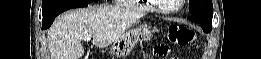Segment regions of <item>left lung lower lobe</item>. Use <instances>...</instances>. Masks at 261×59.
Returning <instances> with one entry per match:
<instances>
[{
	"mask_svg": "<svg viewBox=\"0 0 261 59\" xmlns=\"http://www.w3.org/2000/svg\"><path fill=\"white\" fill-rule=\"evenodd\" d=\"M188 19L202 24L203 25V31L205 33L211 32V30H212L211 21L204 20V19H201V18H198V17H194V16L188 17Z\"/></svg>",
	"mask_w": 261,
	"mask_h": 59,
	"instance_id": "1",
	"label": "left lung lower lobe"
}]
</instances>
